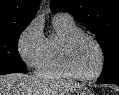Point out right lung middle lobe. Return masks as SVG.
<instances>
[{
    "mask_svg": "<svg viewBox=\"0 0 119 95\" xmlns=\"http://www.w3.org/2000/svg\"><path fill=\"white\" fill-rule=\"evenodd\" d=\"M29 23L12 24L0 27V68L26 73L27 69L22 61L17 43L22 31Z\"/></svg>",
    "mask_w": 119,
    "mask_h": 95,
    "instance_id": "right-lung-middle-lobe-1",
    "label": "right lung middle lobe"
}]
</instances>
